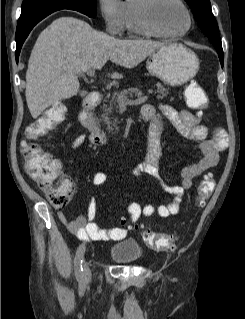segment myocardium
<instances>
[{"label": "myocardium", "mask_w": 245, "mask_h": 319, "mask_svg": "<svg viewBox=\"0 0 245 319\" xmlns=\"http://www.w3.org/2000/svg\"><path fill=\"white\" fill-rule=\"evenodd\" d=\"M175 1L181 5V7L186 12V15L188 18L187 27L183 31L167 32L156 23L154 19V8L157 2H159V0H141L140 1L137 7V13H138L139 23L142 26V28L150 35L164 37V38H177L187 34L193 25L192 13L183 0H175Z\"/></svg>", "instance_id": "1"}]
</instances>
